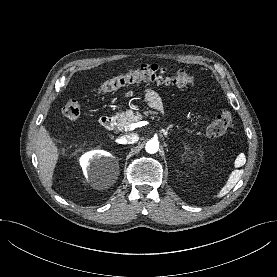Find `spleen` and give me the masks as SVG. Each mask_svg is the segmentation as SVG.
Wrapping results in <instances>:
<instances>
[{
	"mask_svg": "<svg viewBox=\"0 0 277 277\" xmlns=\"http://www.w3.org/2000/svg\"><path fill=\"white\" fill-rule=\"evenodd\" d=\"M243 171L242 170H234L231 172L225 186L220 190L218 193L217 197H223L226 195L234 186L235 184L239 181V179L242 176Z\"/></svg>",
	"mask_w": 277,
	"mask_h": 277,
	"instance_id": "obj_1",
	"label": "spleen"
}]
</instances>
